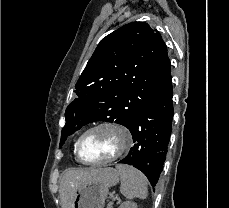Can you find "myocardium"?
Masks as SVG:
<instances>
[{
	"instance_id": "1",
	"label": "myocardium",
	"mask_w": 229,
	"mask_h": 208,
	"mask_svg": "<svg viewBox=\"0 0 229 208\" xmlns=\"http://www.w3.org/2000/svg\"><path fill=\"white\" fill-rule=\"evenodd\" d=\"M103 127H108V128H113L116 130H96L99 128ZM91 132L92 135H113L114 134V142L116 147H122L116 154L108 157L107 160H87V158L84 157L83 154V148H81V143L84 138V136ZM133 142L132 135L128 131V129L116 122H111V121H103L99 122L88 129H86L77 139L76 145H75V151H76V156L77 158L85 164H105V163H110L113 162L120 157H122L131 147Z\"/></svg>"
}]
</instances>
